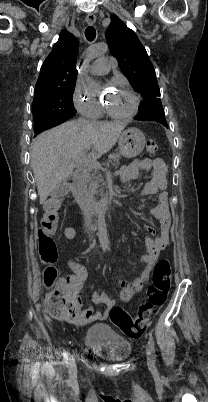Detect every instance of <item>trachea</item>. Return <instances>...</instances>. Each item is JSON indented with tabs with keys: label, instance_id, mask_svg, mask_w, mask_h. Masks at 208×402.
Masks as SVG:
<instances>
[{
	"label": "trachea",
	"instance_id": "obj_1",
	"mask_svg": "<svg viewBox=\"0 0 208 402\" xmlns=\"http://www.w3.org/2000/svg\"><path fill=\"white\" fill-rule=\"evenodd\" d=\"M85 36L87 38V40H89L90 42H92L95 37H96V30L94 27H92L91 25L89 27L86 28L85 30Z\"/></svg>",
	"mask_w": 208,
	"mask_h": 402
}]
</instances>
